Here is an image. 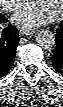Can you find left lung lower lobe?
Listing matches in <instances>:
<instances>
[{"label":"left lung lower lobe","instance_id":"obj_1","mask_svg":"<svg viewBox=\"0 0 63 107\" xmlns=\"http://www.w3.org/2000/svg\"><path fill=\"white\" fill-rule=\"evenodd\" d=\"M56 32V50L52 56V63L54 69L63 75V21Z\"/></svg>","mask_w":63,"mask_h":107}]
</instances>
